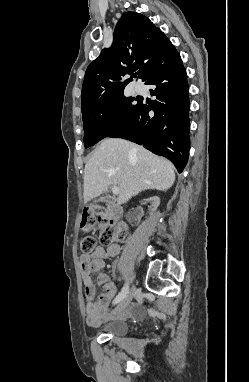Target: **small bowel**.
I'll use <instances>...</instances> for the list:
<instances>
[{"label": "small bowel", "mask_w": 249, "mask_h": 382, "mask_svg": "<svg viewBox=\"0 0 249 382\" xmlns=\"http://www.w3.org/2000/svg\"><path fill=\"white\" fill-rule=\"evenodd\" d=\"M120 246L112 244L107 248L96 247L80 257V269L86 298V322L90 326L100 323L109 313L112 299L116 294V286L104 272L105 260L114 258L120 253ZM97 273V282L103 293L94 301L95 285L92 274Z\"/></svg>", "instance_id": "small-bowel-1"}]
</instances>
